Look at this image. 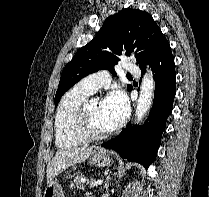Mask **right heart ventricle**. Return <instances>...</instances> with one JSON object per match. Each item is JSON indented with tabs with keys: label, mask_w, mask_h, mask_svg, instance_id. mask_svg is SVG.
<instances>
[{
	"label": "right heart ventricle",
	"mask_w": 209,
	"mask_h": 197,
	"mask_svg": "<svg viewBox=\"0 0 209 197\" xmlns=\"http://www.w3.org/2000/svg\"><path fill=\"white\" fill-rule=\"evenodd\" d=\"M91 94L92 92L78 84L61 99L54 123L55 140L59 148L70 149L86 142L76 133L74 122L79 108Z\"/></svg>",
	"instance_id": "right-heart-ventricle-1"
}]
</instances>
